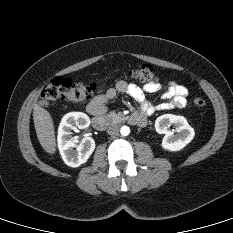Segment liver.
Returning <instances> with one entry per match:
<instances>
[{
    "label": "liver",
    "instance_id": "6515ba94",
    "mask_svg": "<svg viewBox=\"0 0 233 233\" xmlns=\"http://www.w3.org/2000/svg\"><path fill=\"white\" fill-rule=\"evenodd\" d=\"M33 121L38 141L49 154L56 152L54 124L50 113L36 103L33 109Z\"/></svg>",
    "mask_w": 233,
    "mask_h": 233
}]
</instances>
